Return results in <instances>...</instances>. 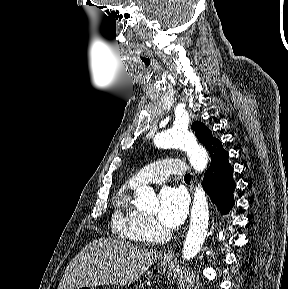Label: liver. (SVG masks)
Segmentation results:
<instances>
[{
	"mask_svg": "<svg viewBox=\"0 0 288 289\" xmlns=\"http://www.w3.org/2000/svg\"><path fill=\"white\" fill-rule=\"evenodd\" d=\"M158 252L111 238H99L85 246L68 264L58 289L126 286L157 260Z\"/></svg>",
	"mask_w": 288,
	"mask_h": 289,
	"instance_id": "1",
	"label": "liver"
}]
</instances>
